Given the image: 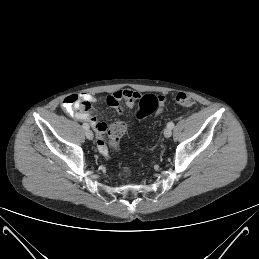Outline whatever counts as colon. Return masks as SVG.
<instances>
[{"mask_svg":"<svg viewBox=\"0 0 259 259\" xmlns=\"http://www.w3.org/2000/svg\"><path fill=\"white\" fill-rule=\"evenodd\" d=\"M174 101L185 107H190L195 104V100L192 96L186 93H178L174 97ZM159 99L151 94L139 96L136 100V118L138 120L154 112L158 106ZM126 131V123L118 121L113 123L108 131L109 134V148H107L106 155H110L112 152H116L119 149V144L122 136ZM130 169L125 167L122 170V175L128 177L130 175Z\"/></svg>","mask_w":259,"mask_h":259,"instance_id":"colon-1","label":"colon"}]
</instances>
